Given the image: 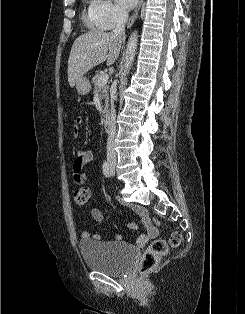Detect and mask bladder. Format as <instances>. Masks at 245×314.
<instances>
[{
  "instance_id": "obj_1",
  "label": "bladder",
  "mask_w": 245,
  "mask_h": 314,
  "mask_svg": "<svg viewBox=\"0 0 245 314\" xmlns=\"http://www.w3.org/2000/svg\"><path fill=\"white\" fill-rule=\"evenodd\" d=\"M79 251L87 267L110 275H118L130 268L137 251L121 242L85 240Z\"/></svg>"
}]
</instances>
